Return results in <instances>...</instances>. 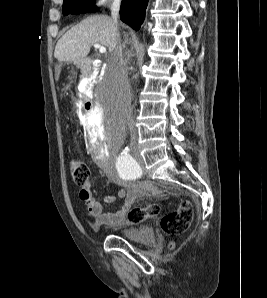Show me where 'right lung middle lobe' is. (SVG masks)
Here are the masks:
<instances>
[{
  "label": "right lung middle lobe",
  "mask_w": 267,
  "mask_h": 298,
  "mask_svg": "<svg viewBox=\"0 0 267 298\" xmlns=\"http://www.w3.org/2000/svg\"><path fill=\"white\" fill-rule=\"evenodd\" d=\"M94 0H64L63 13L68 14H84L87 12H96Z\"/></svg>",
  "instance_id": "obj_1"
}]
</instances>
